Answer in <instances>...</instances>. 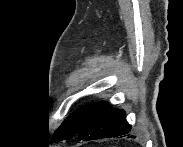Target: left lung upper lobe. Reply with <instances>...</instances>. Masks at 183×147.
I'll return each mask as SVG.
<instances>
[{"instance_id": "obj_1", "label": "left lung upper lobe", "mask_w": 183, "mask_h": 147, "mask_svg": "<svg viewBox=\"0 0 183 147\" xmlns=\"http://www.w3.org/2000/svg\"><path fill=\"white\" fill-rule=\"evenodd\" d=\"M94 106L95 104L86 105L69 116L55 131L54 140H69L74 137Z\"/></svg>"}]
</instances>
